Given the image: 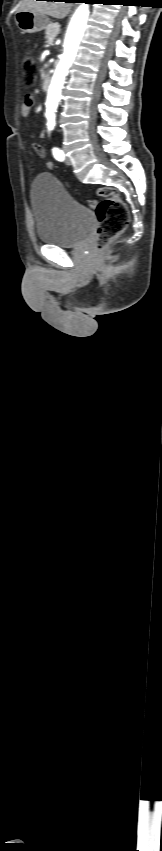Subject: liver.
I'll use <instances>...</instances> for the list:
<instances>
[{
  "label": "liver",
  "mask_w": 162,
  "mask_h": 851,
  "mask_svg": "<svg viewBox=\"0 0 162 851\" xmlns=\"http://www.w3.org/2000/svg\"><path fill=\"white\" fill-rule=\"evenodd\" d=\"M71 6L72 5L70 3L66 2L22 0L19 3L18 11H32L34 13L62 19L68 15Z\"/></svg>",
  "instance_id": "obj_1"
}]
</instances>
